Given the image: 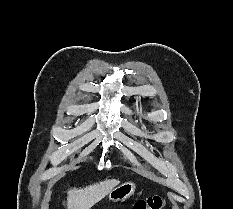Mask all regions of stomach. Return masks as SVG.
<instances>
[{"mask_svg":"<svg viewBox=\"0 0 233 209\" xmlns=\"http://www.w3.org/2000/svg\"><path fill=\"white\" fill-rule=\"evenodd\" d=\"M135 190H136L135 183L132 181H127L116 186L113 190H111L107 195V198L109 199V201L122 202L127 198L131 197L132 195H134Z\"/></svg>","mask_w":233,"mask_h":209,"instance_id":"0dacf381","label":"stomach"}]
</instances>
